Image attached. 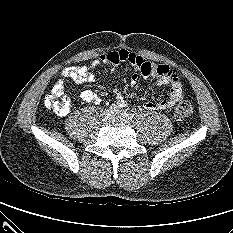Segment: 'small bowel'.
I'll use <instances>...</instances> for the list:
<instances>
[{
	"instance_id": "c3829d8e",
	"label": "small bowel",
	"mask_w": 233,
	"mask_h": 233,
	"mask_svg": "<svg viewBox=\"0 0 233 233\" xmlns=\"http://www.w3.org/2000/svg\"><path fill=\"white\" fill-rule=\"evenodd\" d=\"M121 63H129L134 69V72L130 77V84L132 86L137 84L140 76L144 78H155L158 86L169 85L170 91L168 97L158 102H145L144 108L146 110L154 111L169 109L175 106L182 99V84L175 70L167 65L150 63L143 57L126 49H120L103 54L87 66H72L63 69L60 73L59 80L53 87V90L58 89L63 92L65 79H70L76 84L93 82L95 81L94 70L98 66L106 64L116 67ZM80 97L87 103L100 104L101 102L100 95L91 90H84ZM117 104L121 107L125 106L124 99L122 97H117ZM68 112L69 109L59 115L64 116Z\"/></svg>"
}]
</instances>
